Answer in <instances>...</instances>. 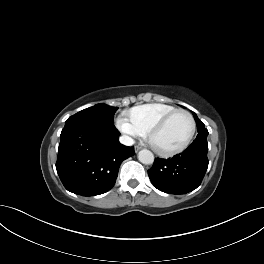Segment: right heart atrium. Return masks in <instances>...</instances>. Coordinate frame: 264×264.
I'll use <instances>...</instances> for the list:
<instances>
[{
  "mask_svg": "<svg viewBox=\"0 0 264 264\" xmlns=\"http://www.w3.org/2000/svg\"><path fill=\"white\" fill-rule=\"evenodd\" d=\"M116 125L119 131L124 134L129 140L141 136L140 132L135 128L130 119L124 114L118 117Z\"/></svg>",
  "mask_w": 264,
  "mask_h": 264,
  "instance_id": "right-heart-atrium-1",
  "label": "right heart atrium"
}]
</instances>
